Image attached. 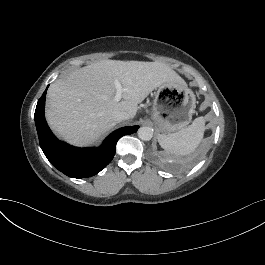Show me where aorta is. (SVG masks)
Listing matches in <instances>:
<instances>
[{
	"instance_id": "762f6f07",
	"label": "aorta",
	"mask_w": 265,
	"mask_h": 265,
	"mask_svg": "<svg viewBox=\"0 0 265 265\" xmlns=\"http://www.w3.org/2000/svg\"><path fill=\"white\" fill-rule=\"evenodd\" d=\"M138 137L143 141H149L153 137V129L150 127H140L138 130Z\"/></svg>"
}]
</instances>
